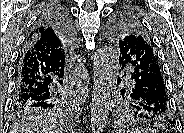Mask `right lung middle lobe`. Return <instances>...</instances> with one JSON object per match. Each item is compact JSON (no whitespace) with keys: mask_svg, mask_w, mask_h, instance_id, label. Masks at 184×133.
<instances>
[{"mask_svg":"<svg viewBox=\"0 0 184 133\" xmlns=\"http://www.w3.org/2000/svg\"><path fill=\"white\" fill-rule=\"evenodd\" d=\"M65 104V98H54L46 104L42 105H15L13 104L14 114L16 116H27L36 112H46V113H59L61 112Z\"/></svg>","mask_w":184,"mask_h":133,"instance_id":"dd1d6c3e","label":"right lung middle lobe"}]
</instances>
